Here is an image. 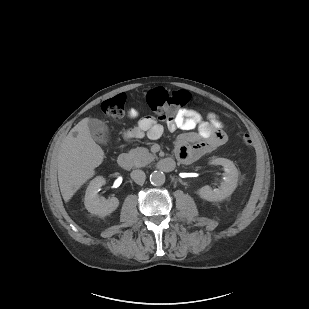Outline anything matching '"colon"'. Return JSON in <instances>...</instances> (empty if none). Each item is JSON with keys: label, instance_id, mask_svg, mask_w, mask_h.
Returning a JSON list of instances; mask_svg holds the SVG:
<instances>
[{"label": "colon", "instance_id": "colon-1", "mask_svg": "<svg viewBox=\"0 0 309 309\" xmlns=\"http://www.w3.org/2000/svg\"><path fill=\"white\" fill-rule=\"evenodd\" d=\"M191 100V95L185 90L169 92L164 88H156L148 93L147 101L151 109L159 115V119L166 121L173 113ZM125 97L119 94L105 100L102 105L103 113L112 119H121L124 116ZM244 145L251 146L253 141L249 134L242 137Z\"/></svg>", "mask_w": 309, "mask_h": 309}]
</instances>
